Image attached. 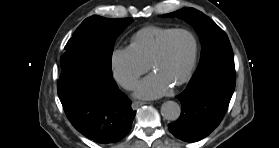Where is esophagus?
<instances>
[{"label":"esophagus","instance_id":"esophagus-1","mask_svg":"<svg viewBox=\"0 0 279 148\" xmlns=\"http://www.w3.org/2000/svg\"><path fill=\"white\" fill-rule=\"evenodd\" d=\"M144 104H147V102H144V101H134L132 103V108L133 109H137L139 106L144 105Z\"/></svg>","mask_w":279,"mask_h":148}]
</instances>
